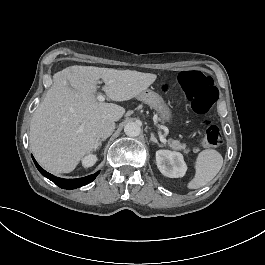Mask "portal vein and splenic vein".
<instances>
[{
	"mask_svg": "<svg viewBox=\"0 0 265 265\" xmlns=\"http://www.w3.org/2000/svg\"><path fill=\"white\" fill-rule=\"evenodd\" d=\"M97 100L100 101V102H103L105 100L104 96L103 95H98L97 96ZM159 138H160V141L162 143H166V139L164 138V136L162 134L159 133Z\"/></svg>",
	"mask_w": 265,
	"mask_h": 265,
	"instance_id": "1",
	"label": "portal vein and splenic vein"
}]
</instances>
